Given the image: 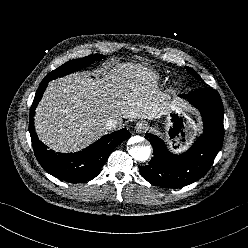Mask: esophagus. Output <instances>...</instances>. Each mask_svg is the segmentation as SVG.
Here are the masks:
<instances>
[{
  "instance_id": "obj_1",
  "label": "esophagus",
  "mask_w": 248,
  "mask_h": 248,
  "mask_svg": "<svg viewBox=\"0 0 248 248\" xmlns=\"http://www.w3.org/2000/svg\"><path fill=\"white\" fill-rule=\"evenodd\" d=\"M147 129H148V125L143 121H139L135 125V130L137 133L145 132Z\"/></svg>"
}]
</instances>
